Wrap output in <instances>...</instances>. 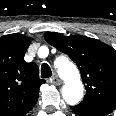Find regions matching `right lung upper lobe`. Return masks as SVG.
Here are the masks:
<instances>
[{
    "mask_svg": "<svg viewBox=\"0 0 116 116\" xmlns=\"http://www.w3.org/2000/svg\"><path fill=\"white\" fill-rule=\"evenodd\" d=\"M31 39L21 34L0 37V116H24L38 100L39 78L35 63L24 61Z\"/></svg>",
    "mask_w": 116,
    "mask_h": 116,
    "instance_id": "right-lung-upper-lobe-1",
    "label": "right lung upper lobe"
}]
</instances>
